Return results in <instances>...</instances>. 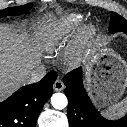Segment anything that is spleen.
Wrapping results in <instances>:
<instances>
[{
	"instance_id": "3e777b00",
	"label": "spleen",
	"mask_w": 127,
	"mask_h": 127,
	"mask_svg": "<svg viewBox=\"0 0 127 127\" xmlns=\"http://www.w3.org/2000/svg\"><path fill=\"white\" fill-rule=\"evenodd\" d=\"M127 111V97L122 101L109 106L105 112L108 116H121Z\"/></svg>"
}]
</instances>
